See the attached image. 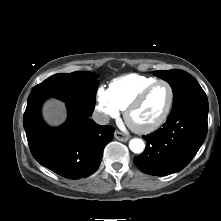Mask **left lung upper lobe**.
<instances>
[{"mask_svg":"<svg viewBox=\"0 0 221 221\" xmlns=\"http://www.w3.org/2000/svg\"><path fill=\"white\" fill-rule=\"evenodd\" d=\"M154 75L168 82L173 90L174 100L176 103L183 97L203 91L196 79L189 73L182 70L154 71Z\"/></svg>","mask_w":221,"mask_h":221,"instance_id":"obj_1","label":"left lung upper lobe"}]
</instances>
